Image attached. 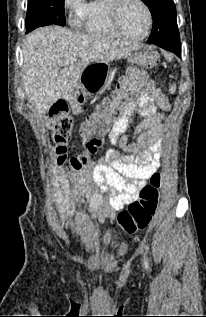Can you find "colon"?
<instances>
[{
    "mask_svg": "<svg viewBox=\"0 0 206 317\" xmlns=\"http://www.w3.org/2000/svg\"><path fill=\"white\" fill-rule=\"evenodd\" d=\"M157 54L142 56L137 66L128 68L116 89L89 115L81 126V136L86 154H94L105 143L112 125L124 114L126 103L134 97L148 81L146 70L161 64ZM53 133L55 162L67 171L80 170L87 162L86 155L68 157L66 145L71 138L73 119L66 104L54 106L48 116ZM160 173H154L150 183L145 185L139 199L132 202L126 211L118 215V223L129 234L145 228L152 220L159 201Z\"/></svg>",
    "mask_w": 206,
    "mask_h": 317,
    "instance_id": "5ec220e1",
    "label": "colon"
}]
</instances>
